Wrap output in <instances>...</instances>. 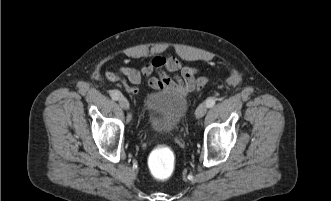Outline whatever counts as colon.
Segmentation results:
<instances>
[{"label":"colon","instance_id":"obj_1","mask_svg":"<svg viewBox=\"0 0 331 201\" xmlns=\"http://www.w3.org/2000/svg\"><path fill=\"white\" fill-rule=\"evenodd\" d=\"M206 82L205 78L198 81L197 88L201 89ZM175 158L172 151L165 146L156 148L150 155L149 168L154 178L158 180L168 179L174 170Z\"/></svg>","mask_w":331,"mask_h":201}]
</instances>
